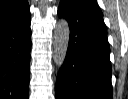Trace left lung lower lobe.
<instances>
[{"label":"left lung lower lobe","instance_id":"1","mask_svg":"<svg viewBox=\"0 0 128 99\" xmlns=\"http://www.w3.org/2000/svg\"><path fill=\"white\" fill-rule=\"evenodd\" d=\"M58 15L69 23L70 39L56 79V99H113L110 47L99 6L61 0Z\"/></svg>","mask_w":128,"mask_h":99}]
</instances>
